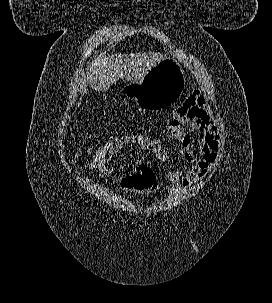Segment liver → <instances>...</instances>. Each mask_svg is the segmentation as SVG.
Returning a JSON list of instances; mask_svg holds the SVG:
<instances>
[{
    "mask_svg": "<svg viewBox=\"0 0 272 303\" xmlns=\"http://www.w3.org/2000/svg\"><path fill=\"white\" fill-rule=\"evenodd\" d=\"M164 58L161 53L155 52L100 55L90 65L88 82L96 91H106L119 78L137 82Z\"/></svg>",
    "mask_w": 272,
    "mask_h": 303,
    "instance_id": "obj_1",
    "label": "liver"
}]
</instances>
